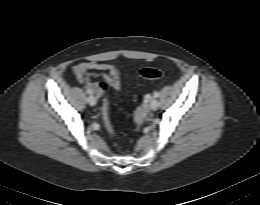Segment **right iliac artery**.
<instances>
[{
  "instance_id": "right-iliac-artery-1",
  "label": "right iliac artery",
  "mask_w": 260,
  "mask_h": 205,
  "mask_svg": "<svg viewBox=\"0 0 260 205\" xmlns=\"http://www.w3.org/2000/svg\"><path fill=\"white\" fill-rule=\"evenodd\" d=\"M87 93H88V94H92V91H91V90H87Z\"/></svg>"
}]
</instances>
